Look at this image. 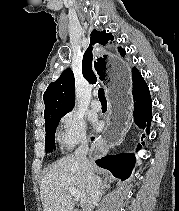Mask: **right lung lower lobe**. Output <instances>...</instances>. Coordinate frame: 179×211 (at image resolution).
Returning a JSON list of instances; mask_svg holds the SVG:
<instances>
[{"instance_id":"98d812e1","label":"right lung lower lobe","mask_w":179,"mask_h":211,"mask_svg":"<svg viewBox=\"0 0 179 211\" xmlns=\"http://www.w3.org/2000/svg\"><path fill=\"white\" fill-rule=\"evenodd\" d=\"M132 95L134 100V121L140 128H146L147 134L150 132V123L152 120V100L149 88L138 69L132 71ZM145 134L142 135V139ZM94 138H92L93 140ZM144 145V142H142ZM141 145H138V150ZM136 160L135 155L117 154L107 155L96 160V164L102 168L108 169L111 173L121 180L127 179L134 167Z\"/></svg>"}]
</instances>
